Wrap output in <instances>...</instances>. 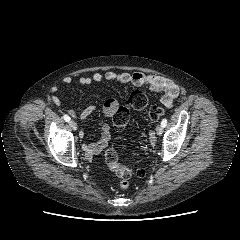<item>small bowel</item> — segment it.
<instances>
[{"label": "small bowel", "instance_id": "c3829d8e", "mask_svg": "<svg viewBox=\"0 0 240 240\" xmlns=\"http://www.w3.org/2000/svg\"><path fill=\"white\" fill-rule=\"evenodd\" d=\"M73 79L69 76L63 78V83L65 85H70ZM79 83L81 85H92L95 83H100L102 81L117 82L121 84H131L136 87H147L152 91L162 93L161 103L166 108H172L175 100L180 94L179 87L169 79L155 75L147 74L143 72H114L107 71L105 73H94L92 76H82L79 78ZM58 89L54 88L52 90V101L56 105H60L61 101L57 95ZM119 101L115 97H110L106 99L102 106V111L106 117H113L119 108ZM96 112L94 106H89L85 108L79 115L73 110L69 109L68 113L79 120H84L87 117L93 115ZM83 137V132L80 134ZM111 138L110 126L105 123L102 125V135L97 141L84 143L82 148L88 156H92L100 153L109 143Z\"/></svg>", "mask_w": 240, "mask_h": 240}]
</instances>
